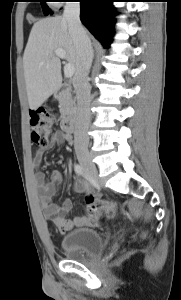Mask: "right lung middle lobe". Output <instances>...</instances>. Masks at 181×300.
Listing matches in <instances>:
<instances>
[{"instance_id": "dd1d6c3e", "label": "right lung middle lobe", "mask_w": 181, "mask_h": 300, "mask_svg": "<svg viewBox=\"0 0 181 300\" xmlns=\"http://www.w3.org/2000/svg\"><path fill=\"white\" fill-rule=\"evenodd\" d=\"M36 1H39L41 3L42 9H43V13L45 15H48L50 13V9L46 5V0H36Z\"/></svg>"}]
</instances>
